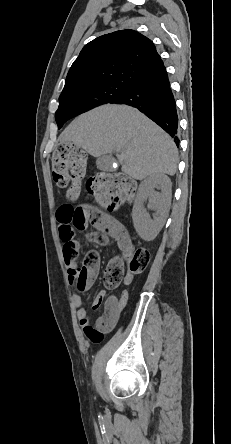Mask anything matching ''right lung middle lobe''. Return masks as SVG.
Here are the masks:
<instances>
[{"label": "right lung middle lobe", "instance_id": "dd1d6c3e", "mask_svg": "<svg viewBox=\"0 0 231 444\" xmlns=\"http://www.w3.org/2000/svg\"><path fill=\"white\" fill-rule=\"evenodd\" d=\"M132 88L121 83H107L93 87L66 90L59 97L55 118L60 129L69 119L106 103H115Z\"/></svg>", "mask_w": 231, "mask_h": 444}]
</instances>
